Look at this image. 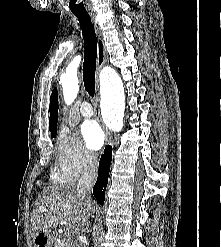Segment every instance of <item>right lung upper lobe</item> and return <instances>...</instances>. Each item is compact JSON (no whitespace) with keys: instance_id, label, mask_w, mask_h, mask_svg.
I'll list each match as a JSON object with an SVG mask.
<instances>
[{"instance_id":"obj_1","label":"right lung upper lobe","mask_w":221,"mask_h":247,"mask_svg":"<svg viewBox=\"0 0 221 247\" xmlns=\"http://www.w3.org/2000/svg\"><path fill=\"white\" fill-rule=\"evenodd\" d=\"M50 117H49V130L51 136H56L57 122H58V92L57 88H54L50 98Z\"/></svg>"}]
</instances>
